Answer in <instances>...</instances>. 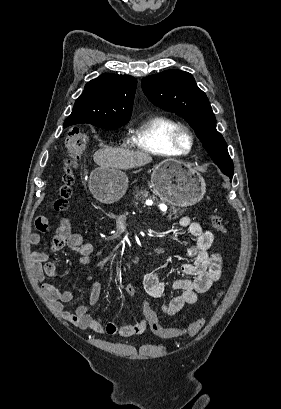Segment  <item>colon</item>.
Returning a JSON list of instances; mask_svg holds the SVG:
<instances>
[{
  "label": "colon",
  "mask_w": 281,
  "mask_h": 409,
  "mask_svg": "<svg viewBox=\"0 0 281 409\" xmlns=\"http://www.w3.org/2000/svg\"><path fill=\"white\" fill-rule=\"evenodd\" d=\"M88 144L87 136L81 132L79 129H73L69 136L66 139L65 150L66 156L64 159L65 165V173L63 175V185L60 188L61 200L57 202V207L59 209H65L68 205L67 198L71 192V183H72V176L70 174V167L73 164L74 160L81 157L86 150ZM212 225L216 230L219 232L225 233L226 227L224 225V221L221 216L219 215H212L211 216ZM204 326V321L199 320L197 322L188 323L186 328H181L179 333L181 335H194L195 333L199 332ZM151 330L159 335L160 337H169L173 334H177V329H164L158 323L151 324Z\"/></svg>",
  "instance_id": "colon-1"
}]
</instances>
